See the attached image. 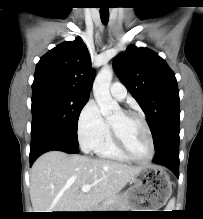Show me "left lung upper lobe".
<instances>
[{
    "instance_id": "1",
    "label": "left lung upper lobe",
    "mask_w": 203,
    "mask_h": 219,
    "mask_svg": "<svg viewBox=\"0 0 203 219\" xmlns=\"http://www.w3.org/2000/svg\"><path fill=\"white\" fill-rule=\"evenodd\" d=\"M113 65L145 113L156 151L179 136V91L166 62L147 48L129 46L115 57Z\"/></svg>"
}]
</instances>
